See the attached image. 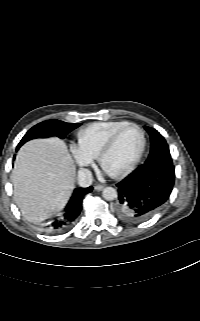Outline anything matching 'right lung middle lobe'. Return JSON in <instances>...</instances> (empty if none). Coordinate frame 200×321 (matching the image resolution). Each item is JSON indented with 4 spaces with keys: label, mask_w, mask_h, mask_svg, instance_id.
<instances>
[{
    "label": "right lung middle lobe",
    "mask_w": 200,
    "mask_h": 321,
    "mask_svg": "<svg viewBox=\"0 0 200 321\" xmlns=\"http://www.w3.org/2000/svg\"><path fill=\"white\" fill-rule=\"evenodd\" d=\"M80 124L66 123L60 120H47L32 127L18 144V148L29 140L41 137L57 136L63 139L69 132Z\"/></svg>",
    "instance_id": "1"
}]
</instances>
